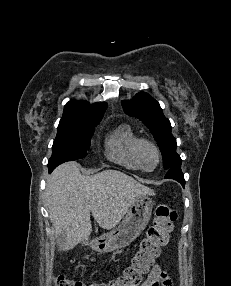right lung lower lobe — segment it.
<instances>
[{
	"mask_svg": "<svg viewBox=\"0 0 231 286\" xmlns=\"http://www.w3.org/2000/svg\"><path fill=\"white\" fill-rule=\"evenodd\" d=\"M55 168L54 165H48V169H49V173H51L53 171V169Z\"/></svg>",
	"mask_w": 231,
	"mask_h": 286,
	"instance_id": "1",
	"label": "right lung lower lobe"
}]
</instances>
